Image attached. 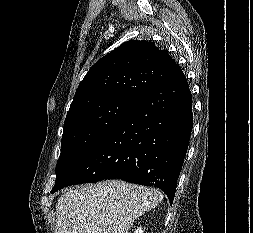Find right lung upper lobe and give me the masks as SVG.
I'll use <instances>...</instances> for the list:
<instances>
[{
	"mask_svg": "<svg viewBox=\"0 0 253 233\" xmlns=\"http://www.w3.org/2000/svg\"><path fill=\"white\" fill-rule=\"evenodd\" d=\"M181 70L153 41L129 40L98 60L76 90L74 109L112 97L136 100Z\"/></svg>",
	"mask_w": 253,
	"mask_h": 233,
	"instance_id": "cb5924a9",
	"label": "right lung upper lobe"
}]
</instances>
